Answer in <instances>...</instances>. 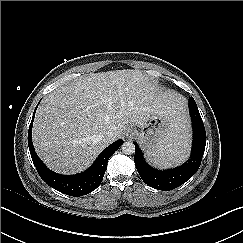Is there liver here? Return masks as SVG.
<instances>
[{
	"label": "liver",
	"mask_w": 243,
	"mask_h": 243,
	"mask_svg": "<svg viewBox=\"0 0 243 243\" xmlns=\"http://www.w3.org/2000/svg\"><path fill=\"white\" fill-rule=\"evenodd\" d=\"M186 101L162 91L140 70L93 73L56 88L39 105L33 144L43 162L61 174L88 168L99 153L120 138L126 124L142 127L154 114H166L173 132H188ZM114 130L115 139L104 138Z\"/></svg>",
	"instance_id": "liver-1"
}]
</instances>
